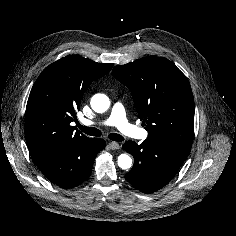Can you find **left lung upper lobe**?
Returning <instances> with one entry per match:
<instances>
[{
  "mask_svg": "<svg viewBox=\"0 0 236 236\" xmlns=\"http://www.w3.org/2000/svg\"><path fill=\"white\" fill-rule=\"evenodd\" d=\"M112 74L132 92L148 137L191 148L194 99L187 77L166 58L117 65Z\"/></svg>",
  "mask_w": 236,
  "mask_h": 236,
  "instance_id": "obj_1",
  "label": "left lung upper lobe"
}]
</instances>
